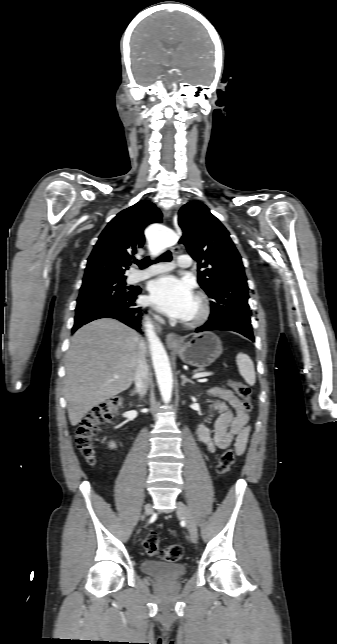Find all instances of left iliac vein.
Here are the masks:
<instances>
[{"label": "left iliac vein", "mask_w": 337, "mask_h": 644, "mask_svg": "<svg viewBox=\"0 0 337 644\" xmlns=\"http://www.w3.org/2000/svg\"><path fill=\"white\" fill-rule=\"evenodd\" d=\"M177 513L186 522V526H187V529H188L189 535H190V540L193 543H196L197 538H198L197 526H196V523H195V521L193 519V516H192L189 508L184 503L178 501L177 502Z\"/></svg>", "instance_id": "4c4485c4"}]
</instances>
